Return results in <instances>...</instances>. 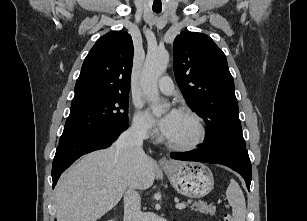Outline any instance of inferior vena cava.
<instances>
[{"label": "inferior vena cava", "mask_w": 307, "mask_h": 221, "mask_svg": "<svg viewBox=\"0 0 307 221\" xmlns=\"http://www.w3.org/2000/svg\"><path fill=\"white\" fill-rule=\"evenodd\" d=\"M146 137L147 129L144 126L132 125L119 136L115 145L137 164L144 163L147 160V155L142 145ZM141 218V197L135 188L128 187L124 194V221H141Z\"/></svg>", "instance_id": "inferior-vena-cava-1"}]
</instances>
